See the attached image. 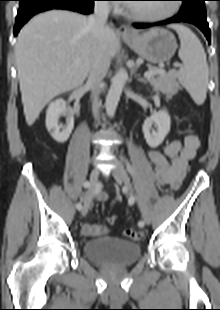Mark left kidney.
Returning <instances> with one entry per match:
<instances>
[{"label":"left kidney","instance_id":"1","mask_svg":"<svg viewBox=\"0 0 220 310\" xmlns=\"http://www.w3.org/2000/svg\"><path fill=\"white\" fill-rule=\"evenodd\" d=\"M156 127V131L152 126ZM171 120L166 109L154 113L144 121L142 130L147 144L151 148H156L162 144L163 140L170 131Z\"/></svg>","mask_w":220,"mask_h":310}]
</instances>
